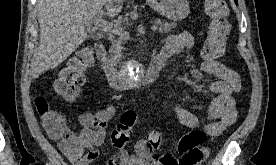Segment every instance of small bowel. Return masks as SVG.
I'll return each instance as SVG.
<instances>
[{
    "label": "small bowel",
    "instance_id": "1",
    "mask_svg": "<svg viewBox=\"0 0 276 165\" xmlns=\"http://www.w3.org/2000/svg\"><path fill=\"white\" fill-rule=\"evenodd\" d=\"M194 45V37L187 31H182L168 37L160 55L166 60L179 54L186 48ZM202 73L213 75L217 80L209 84L208 89L216 97L211 101L208 113V123L203 126L210 137L219 136L223 130L232 125L237 118V110L233 100V94L241 89L239 74L216 60H204L201 70L193 69L191 76L195 80L202 78ZM174 112L178 121L188 129H197L201 126L198 117L180 104L174 106ZM115 114V107L108 106L94 113L84 112L77 116L81 125L78 134L70 132L78 142L75 152H68L60 147L73 165H90L97 159L99 152L97 147L102 145L107 135L108 122ZM84 149L88 151L84 154ZM207 149L202 148L196 157H174L171 154H149L137 150V157L131 158L123 148H117L116 153L108 160L107 165H131L140 160L151 165H201L207 157Z\"/></svg>",
    "mask_w": 276,
    "mask_h": 165
}]
</instances>
